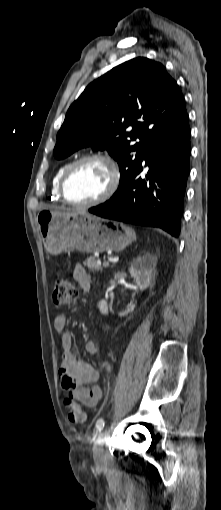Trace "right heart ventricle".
<instances>
[{"mask_svg": "<svg viewBox=\"0 0 221 510\" xmlns=\"http://www.w3.org/2000/svg\"><path fill=\"white\" fill-rule=\"evenodd\" d=\"M68 165H69V162H65L62 165H60L53 176L52 185H51V193H52V198L55 201H61L58 187H59L60 178H61L65 168Z\"/></svg>", "mask_w": 221, "mask_h": 510, "instance_id": "obj_1", "label": "right heart ventricle"}]
</instances>
